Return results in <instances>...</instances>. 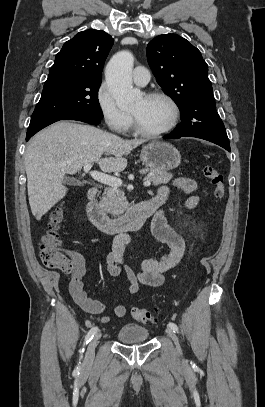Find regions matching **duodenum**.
I'll list each match as a JSON object with an SVG mask.
<instances>
[{
  "label": "duodenum",
  "mask_w": 265,
  "mask_h": 407,
  "mask_svg": "<svg viewBox=\"0 0 265 407\" xmlns=\"http://www.w3.org/2000/svg\"><path fill=\"white\" fill-rule=\"evenodd\" d=\"M96 188H91L87 194V215L92 224L107 234H119L140 228L163 204L164 200L152 198L143 201L119 218H110L96 201Z\"/></svg>",
  "instance_id": "1"
}]
</instances>
